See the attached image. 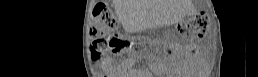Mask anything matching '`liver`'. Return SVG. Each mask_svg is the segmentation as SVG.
Wrapping results in <instances>:
<instances>
[{
	"label": "liver",
	"mask_w": 258,
	"mask_h": 77,
	"mask_svg": "<svg viewBox=\"0 0 258 77\" xmlns=\"http://www.w3.org/2000/svg\"><path fill=\"white\" fill-rule=\"evenodd\" d=\"M114 4L119 16L128 14V18L122 19L125 27L132 22L150 24L160 18V14L150 6L148 0H114Z\"/></svg>",
	"instance_id": "1"
}]
</instances>
